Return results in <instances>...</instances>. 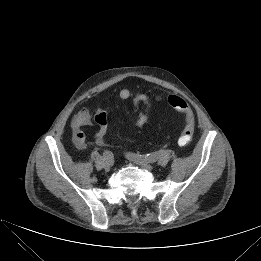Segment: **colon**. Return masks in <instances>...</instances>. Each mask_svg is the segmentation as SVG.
I'll list each match as a JSON object with an SVG mask.
<instances>
[{"mask_svg": "<svg viewBox=\"0 0 261 261\" xmlns=\"http://www.w3.org/2000/svg\"><path fill=\"white\" fill-rule=\"evenodd\" d=\"M157 100H160V98H157ZM166 102L169 106L174 108L175 110L181 112L185 116V123L184 126L181 130L179 139H178V144L180 146H186L188 145L194 134V124H193V118L191 115V111L186 103V101L181 98L180 96L176 95H170L166 99Z\"/></svg>", "mask_w": 261, "mask_h": 261, "instance_id": "5ec220e1", "label": "colon"}]
</instances>
